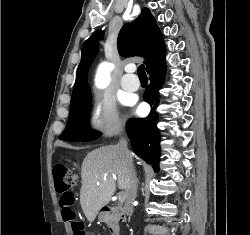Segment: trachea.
Wrapping results in <instances>:
<instances>
[{"instance_id":"3493384b","label":"trachea","mask_w":250,"mask_h":235,"mask_svg":"<svg viewBox=\"0 0 250 235\" xmlns=\"http://www.w3.org/2000/svg\"><path fill=\"white\" fill-rule=\"evenodd\" d=\"M137 74H138L139 78H147V75H146V72H145V66L143 64H141L137 68Z\"/></svg>"}]
</instances>
